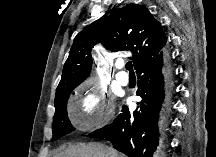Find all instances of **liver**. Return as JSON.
<instances>
[{
    "instance_id": "1",
    "label": "liver",
    "mask_w": 216,
    "mask_h": 157,
    "mask_svg": "<svg viewBox=\"0 0 216 157\" xmlns=\"http://www.w3.org/2000/svg\"><path fill=\"white\" fill-rule=\"evenodd\" d=\"M54 157H122V154L104 144L89 143L69 146Z\"/></svg>"
}]
</instances>
